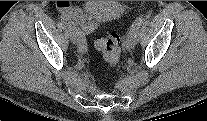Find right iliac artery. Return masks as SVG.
Segmentation results:
<instances>
[{
	"label": "right iliac artery",
	"instance_id": "82829eb1",
	"mask_svg": "<svg viewBox=\"0 0 207 121\" xmlns=\"http://www.w3.org/2000/svg\"><path fill=\"white\" fill-rule=\"evenodd\" d=\"M61 21L63 23H66L69 26V28H72V27L75 28V24L72 21H70V19L66 15L61 16ZM77 36H78L79 49L83 48V47H86L85 38H84L82 32L77 30Z\"/></svg>",
	"mask_w": 207,
	"mask_h": 121
}]
</instances>
